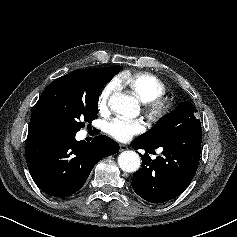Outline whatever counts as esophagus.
Returning <instances> with one entry per match:
<instances>
[{
  "mask_svg": "<svg viewBox=\"0 0 237 237\" xmlns=\"http://www.w3.org/2000/svg\"><path fill=\"white\" fill-rule=\"evenodd\" d=\"M119 148H120V151H125V150H127V146L124 145V144H120V145H119Z\"/></svg>",
  "mask_w": 237,
  "mask_h": 237,
  "instance_id": "obj_1",
  "label": "esophagus"
}]
</instances>
